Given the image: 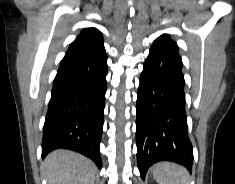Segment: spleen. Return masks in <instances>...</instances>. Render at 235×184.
<instances>
[{
    "instance_id": "obj_1",
    "label": "spleen",
    "mask_w": 235,
    "mask_h": 184,
    "mask_svg": "<svg viewBox=\"0 0 235 184\" xmlns=\"http://www.w3.org/2000/svg\"><path fill=\"white\" fill-rule=\"evenodd\" d=\"M154 180L157 184H190L188 170L173 162H159L153 168Z\"/></svg>"
}]
</instances>
